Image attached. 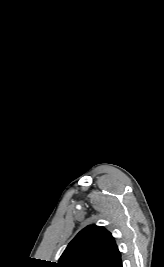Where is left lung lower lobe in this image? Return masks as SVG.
I'll return each mask as SVG.
<instances>
[{
	"label": "left lung lower lobe",
	"instance_id": "1",
	"mask_svg": "<svg viewBox=\"0 0 164 267\" xmlns=\"http://www.w3.org/2000/svg\"><path fill=\"white\" fill-rule=\"evenodd\" d=\"M107 267H122L121 255L118 252L117 255L111 260Z\"/></svg>",
	"mask_w": 164,
	"mask_h": 267
}]
</instances>
